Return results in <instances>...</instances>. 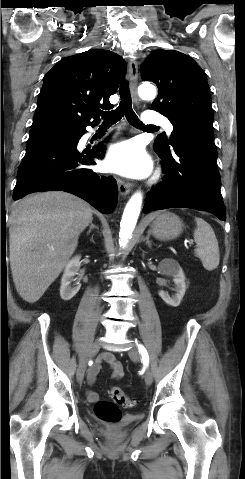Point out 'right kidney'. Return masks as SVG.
<instances>
[{"instance_id":"ca27d5eb","label":"right kidney","mask_w":245,"mask_h":479,"mask_svg":"<svg viewBox=\"0 0 245 479\" xmlns=\"http://www.w3.org/2000/svg\"><path fill=\"white\" fill-rule=\"evenodd\" d=\"M80 258L81 257L79 255L72 258L64 270L60 286V296L64 301L72 299L81 287L79 282H75V284L71 286V282L76 281L74 276L77 274L80 268Z\"/></svg>"}]
</instances>
